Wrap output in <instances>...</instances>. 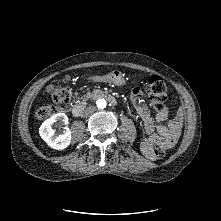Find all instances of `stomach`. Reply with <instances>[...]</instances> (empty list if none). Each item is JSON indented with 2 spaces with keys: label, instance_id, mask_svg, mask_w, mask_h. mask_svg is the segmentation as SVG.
<instances>
[{
  "label": "stomach",
  "instance_id": "stomach-1",
  "mask_svg": "<svg viewBox=\"0 0 221 221\" xmlns=\"http://www.w3.org/2000/svg\"><path fill=\"white\" fill-rule=\"evenodd\" d=\"M90 80L95 82H108L113 83L116 86H122L125 84V78L120 70H113L112 72L105 75H93L89 77Z\"/></svg>",
  "mask_w": 221,
  "mask_h": 221
}]
</instances>
